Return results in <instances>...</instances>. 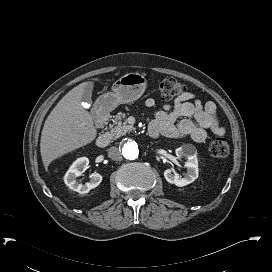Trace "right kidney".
Returning a JSON list of instances; mask_svg holds the SVG:
<instances>
[{
	"label": "right kidney",
	"instance_id": "1",
	"mask_svg": "<svg viewBox=\"0 0 272 272\" xmlns=\"http://www.w3.org/2000/svg\"><path fill=\"white\" fill-rule=\"evenodd\" d=\"M89 159L86 157L78 158L73 164L70 166L69 170L64 175V182L65 184L80 194H86L91 189L97 187L101 181L102 176L99 173H92L90 177V181L85 184H80L76 181L78 176H81L82 173L88 168Z\"/></svg>",
	"mask_w": 272,
	"mask_h": 272
}]
</instances>
